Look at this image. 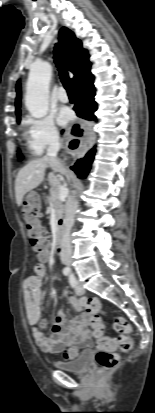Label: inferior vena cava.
Returning a JSON list of instances; mask_svg holds the SVG:
<instances>
[{
	"mask_svg": "<svg viewBox=\"0 0 155 413\" xmlns=\"http://www.w3.org/2000/svg\"><path fill=\"white\" fill-rule=\"evenodd\" d=\"M60 149V142L58 133H53L49 140L46 158L52 167H57L62 174L68 175V172L62 167L57 159V153ZM78 207V201L70 197L67 202L65 219H64V233L63 243L61 247L60 257L63 264L70 266L72 263V250L70 245V231L74 224V217Z\"/></svg>",
	"mask_w": 155,
	"mask_h": 413,
	"instance_id": "inferior-vena-cava-1",
	"label": "inferior vena cava"
}]
</instances>
